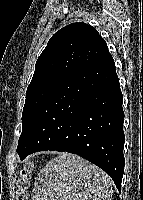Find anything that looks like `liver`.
Listing matches in <instances>:
<instances>
[{
	"instance_id": "obj_1",
	"label": "liver",
	"mask_w": 143,
	"mask_h": 200,
	"mask_svg": "<svg viewBox=\"0 0 143 200\" xmlns=\"http://www.w3.org/2000/svg\"><path fill=\"white\" fill-rule=\"evenodd\" d=\"M110 177L71 153H60L38 173L31 200H112Z\"/></svg>"
}]
</instances>
